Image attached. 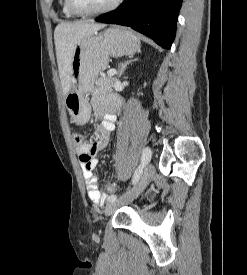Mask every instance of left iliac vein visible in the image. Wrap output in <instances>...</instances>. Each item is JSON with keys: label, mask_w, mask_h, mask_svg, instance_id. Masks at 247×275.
Masks as SVG:
<instances>
[{"label": "left iliac vein", "mask_w": 247, "mask_h": 275, "mask_svg": "<svg viewBox=\"0 0 247 275\" xmlns=\"http://www.w3.org/2000/svg\"><path fill=\"white\" fill-rule=\"evenodd\" d=\"M154 174H155V168L153 164L150 163L147 165L139 181L131 191L125 193L120 199L110 202L106 206L105 215L106 216L112 215L118 207L139 196L143 192V190L147 187V185L151 182V180L154 177Z\"/></svg>", "instance_id": "1"}]
</instances>
